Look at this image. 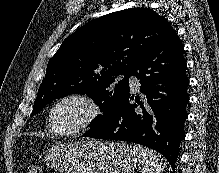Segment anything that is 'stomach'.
Segmentation results:
<instances>
[{
	"label": "stomach",
	"instance_id": "stomach-1",
	"mask_svg": "<svg viewBox=\"0 0 219 173\" xmlns=\"http://www.w3.org/2000/svg\"><path fill=\"white\" fill-rule=\"evenodd\" d=\"M45 161L65 173H132L138 159L124 142L91 140L53 145Z\"/></svg>",
	"mask_w": 219,
	"mask_h": 173
}]
</instances>
